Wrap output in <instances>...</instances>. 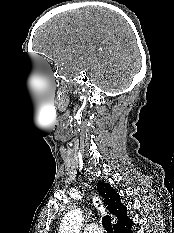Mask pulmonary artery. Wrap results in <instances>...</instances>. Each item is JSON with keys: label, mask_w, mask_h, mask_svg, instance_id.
Masks as SVG:
<instances>
[{"label": "pulmonary artery", "mask_w": 174, "mask_h": 233, "mask_svg": "<svg viewBox=\"0 0 174 233\" xmlns=\"http://www.w3.org/2000/svg\"><path fill=\"white\" fill-rule=\"evenodd\" d=\"M83 233H103V230L98 224L90 223L84 227Z\"/></svg>", "instance_id": "1"}]
</instances>
